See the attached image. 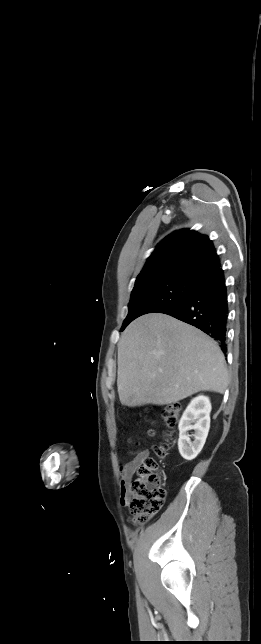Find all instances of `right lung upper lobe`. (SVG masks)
<instances>
[{
  "instance_id": "right-lung-upper-lobe-1",
  "label": "right lung upper lobe",
  "mask_w": 261,
  "mask_h": 644,
  "mask_svg": "<svg viewBox=\"0 0 261 644\" xmlns=\"http://www.w3.org/2000/svg\"><path fill=\"white\" fill-rule=\"evenodd\" d=\"M220 267L212 241L196 231H175L157 246L138 275L135 286L167 278L196 281Z\"/></svg>"
}]
</instances>
